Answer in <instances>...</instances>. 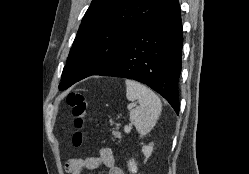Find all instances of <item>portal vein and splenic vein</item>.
<instances>
[{"mask_svg": "<svg viewBox=\"0 0 249 174\" xmlns=\"http://www.w3.org/2000/svg\"><path fill=\"white\" fill-rule=\"evenodd\" d=\"M124 129H125V132H126V133H129V132H130V130H131V126H125V128H124Z\"/></svg>", "mask_w": 249, "mask_h": 174, "instance_id": "obj_1", "label": "portal vein and splenic vein"}]
</instances>
